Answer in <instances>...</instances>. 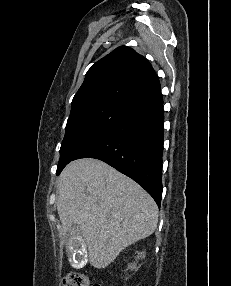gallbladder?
Masks as SVG:
<instances>
[{
  "mask_svg": "<svg viewBox=\"0 0 231 286\" xmlns=\"http://www.w3.org/2000/svg\"><path fill=\"white\" fill-rule=\"evenodd\" d=\"M81 225L79 222H76L75 225H70V238L66 240V251L67 258L69 259V263L75 269H81L88 263L87 249L86 243L83 239V236H80L79 230H81Z\"/></svg>",
  "mask_w": 231,
  "mask_h": 286,
  "instance_id": "gallbladder-1",
  "label": "gallbladder"
}]
</instances>
